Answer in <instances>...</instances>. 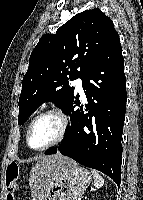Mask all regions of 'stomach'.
Listing matches in <instances>:
<instances>
[{
  "instance_id": "obj_1",
  "label": "stomach",
  "mask_w": 143,
  "mask_h": 200,
  "mask_svg": "<svg viewBox=\"0 0 143 200\" xmlns=\"http://www.w3.org/2000/svg\"><path fill=\"white\" fill-rule=\"evenodd\" d=\"M91 181L90 172L76 163L66 164L51 177L43 200H75Z\"/></svg>"
}]
</instances>
